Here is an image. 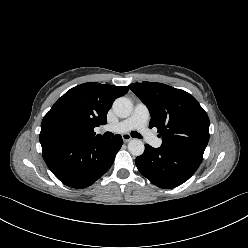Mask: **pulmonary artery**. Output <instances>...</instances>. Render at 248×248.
<instances>
[{
    "label": "pulmonary artery",
    "instance_id": "e3ab8cb5",
    "mask_svg": "<svg viewBox=\"0 0 248 248\" xmlns=\"http://www.w3.org/2000/svg\"><path fill=\"white\" fill-rule=\"evenodd\" d=\"M150 118L149 110L143 103L139 102L135 105L132 114L117 123L114 126H106L105 129L113 132H128L131 130L139 131L145 140L154 147H160L162 140L156 137L148 128Z\"/></svg>",
    "mask_w": 248,
    "mask_h": 248
}]
</instances>
